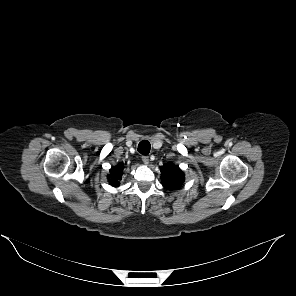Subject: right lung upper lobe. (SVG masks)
<instances>
[{
	"mask_svg": "<svg viewBox=\"0 0 296 296\" xmlns=\"http://www.w3.org/2000/svg\"><path fill=\"white\" fill-rule=\"evenodd\" d=\"M122 177V165L119 164L118 167H112L110 169V174L108 175V181L109 183L114 186L118 187L119 186V180Z\"/></svg>",
	"mask_w": 296,
	"mask_h": 296,
	"instance_id": "1",
	"label": "right lung upper lobe"
}]
</instances>
